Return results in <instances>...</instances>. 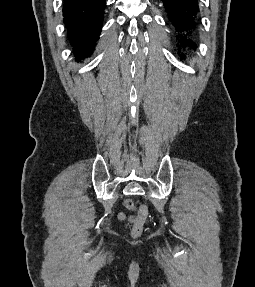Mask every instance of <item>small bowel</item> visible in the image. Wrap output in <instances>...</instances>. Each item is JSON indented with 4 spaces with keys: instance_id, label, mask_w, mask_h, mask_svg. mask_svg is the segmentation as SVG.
I'll return each mask as SVG.
<instances>
[{
    "instance_id": "obj_1",
    "label": "small bowel",
    "mask_w": 255,
    "mask_h": 287,
    "mask_svg": "<svg viewBox=\"0 0 255 287\" xmlns=\"http://www.w3.org/2000/svg\"><path fill=\"white\" fill-rule=\"evenodd\" d=\"M124 205H125L127 208H130V209L133 208V204H132V202H131L130 200H125ZM118 218H119V220H121V221L127 220V221H129V222H131V223H133V222L135 221V216H134V215H131V216H128V217H127L124 213H119V214H118Z\"/></svg>"
}]
</instances>
